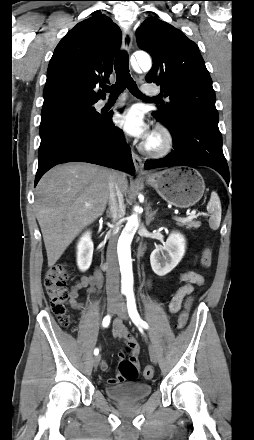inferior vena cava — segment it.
I'll return each mask as SVG.
<instances>
[{
    "instance_id": "obj_1",
    "label": "inferior vena cava",
    "mask_w": 254,
    "mask_h": 440,
    "mask_svg": "<svg viewBox=\"0 0 254 440\" xmlns=\"http://www.w3.org/2000/svg\"><path fill=\"white\" fill-rule=\"evenodd\" d=\"M109 216L112 218L114 227L109 233V243L106 254V291L107 295H119V266L117 259V241L120 229L119 220L125 214V205L122 191L119 187L117 177L112 174L109 182Z\"/></svg>"
}]
</instances>
